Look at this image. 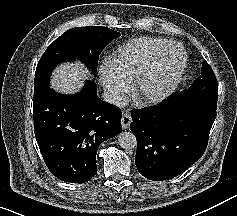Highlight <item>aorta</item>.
Listing matches in <instances>:
<instances>
[{
	"label": "aorta",
	"mask_w": 237,
	"mask_h": 216,
	"mask_svg": "<svg viewBox=\"0 0 237 216\" xmlns=\"http://www.w3.org/2000/svg\"><path fill=\"white\" fill-rule=\"evenodd\" d=\"M117 138L119 146L125 150H130L137 147L136 136L130 131H122L118 134Z\"/></svg>",
	"instance_id": "762f6f07"
}]
</instances>
